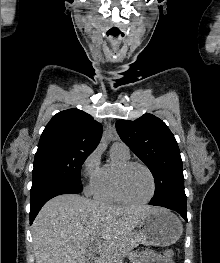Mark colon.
<instances>
[{
	"instance_id": "5ec220e1",
	"label": "colon",
	"mask_w": 220,
	"mask_h": 263,
	"mask_svg": "<svg viewBox=\"0 0 220 263\" xmlns=\"http://www.w3.org/2000/svg\"><path fill=\"white\" fill-rule=\"evenodd\" d=\"M173 257H174V252L172 250L168 249L164 252V258H166L167 260L173 262Z\"/></svg>"
}]
</instances>
